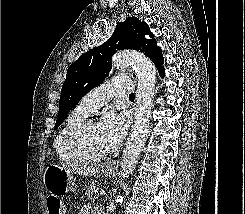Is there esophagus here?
Instances as JSON below:
<instances>
[{
	"label": "esophagus",
	"instance_id": "obj_1",
	"mask_svg": "<svg viewBox=\"0 0 245 214\" xmlns=\"http://www.w3.org/2000/svg\"><path fill=\"white\" fill-rule=\"evenodd\" d=\"M117 165H118L117 163L113 162L112 164H109V167H115Z\"/></svg>",
	"mask_w": 245,
	"mask_h": 214
}]
</instances>
